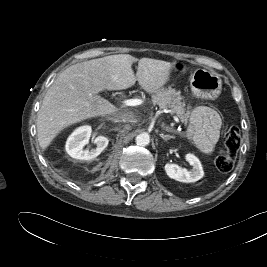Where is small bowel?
I'll return each mask as SVG.
<instances>
[{
    "mask_svg": "<svg viewBox=\"0 0 267 267\" xmlns=\"http://www.w3.org/2000/svg\"><path fill=\"white\" fill-rule=\"evenodd\" d=\"M221 128L219 113L210 106H199L191 113L186 133L199 150L209 153L220 137Z\"/></svg>",
    "mask_w": 267,
    "mask_h": 267,
    "instance_id": "1",
    "label": "small bowel"
}]
</instances>
